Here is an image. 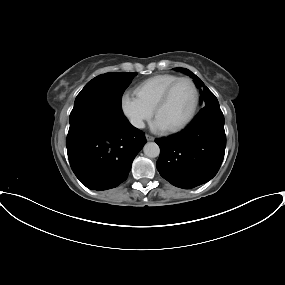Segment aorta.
<instances>
[{
  "instance_id": "762f6f07",
  "label": "aorta",
  "mask_w": 285,
  "mask_h": 285,
  "mask_svg": "<svg viewBox=\"0 0 285 285\" xmlns=\"http://www.w3.org/2000/svg\"><path fill=\"white\" fill-rule=\"evenodd\" d=\"M144 154L149 158L158 157L160 154V148L155 142H148L143 147Z\"/></svg>"
}]
</instances>
